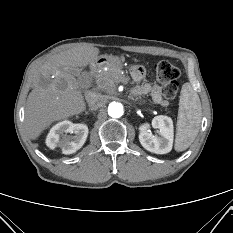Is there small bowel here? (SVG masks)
I'll return each instance as SVG.
<instances>
[{
	"label": "small bowel",
	"mask_w": 233,
	"mask_h": 233,
	"mask_svg": "<svg viewBox=\"0 0 233 233\" xmlns=\"http://www.w3.org/2000/svg\"><path fill=\"white\" fill-rule=\"evenodd\" d=\"M145 68L142 65H134L131 68V75L138 85L135 88V94L142 95L150 93L152 100L155 104L160 106H166L167 101L163 99L161 95V87L157 84H148L144 81L145 79Z\"/></svg>",
	"instance_id": "1"
}]
</instances>
